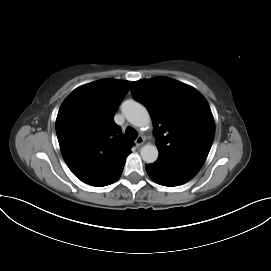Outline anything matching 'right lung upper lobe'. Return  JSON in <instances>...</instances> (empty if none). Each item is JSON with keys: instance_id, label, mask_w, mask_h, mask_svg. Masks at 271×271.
Wrapping results in <instances>:
<instances>
[{"instance_id": "right-lung-upper-lobe-1", "label": "right lung upper lobe", "mask_w": 271, "mask_h": 271, "mask_svg": "<svg viewBox=\"0 0 271 271\" xmlns=\"http://www.w3.org/2000/svg\"><path fill=\"white\" fill-rule=\"evenodd\" d=\"M129 81L101 79L75 89L62 103L56 133L73 174L92 186L111 179L125 164L133 142L114 122Z\"/></svg>"}]
</instances>
